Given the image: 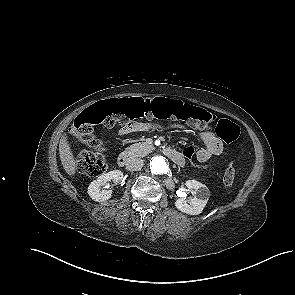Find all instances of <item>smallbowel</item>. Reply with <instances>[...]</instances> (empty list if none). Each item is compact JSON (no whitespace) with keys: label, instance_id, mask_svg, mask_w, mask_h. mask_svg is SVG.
Returning <instances> with one entry per match:
<instances>
[{"label":"small bowel","instance_id":"1","mask_svg":"<svg viewBox=\"0 0 295 295\" xmlns=\"http://www.w3.org/2000/svg\"><path fill=\"white\" fill-rule=\"evenodd\" d=\"M151 128V125L141 122H132L124 125L120 131V135H127L137 131H144ZM203 147L196 151L195 158L200 163L208 162L215 156L223 152L222 142L211 132H204L200 135Z\"/></svg>","mask_w":295,"mask_h":295}]
</instances>
